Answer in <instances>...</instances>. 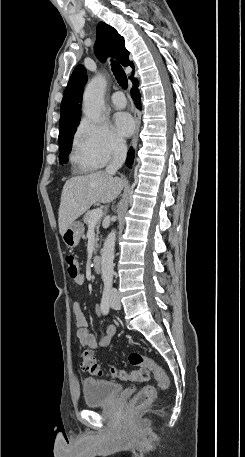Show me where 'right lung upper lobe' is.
<instances>
[{"instance_id": "obj_1", "label": "right lung upper lobe", "mask_w": 245, "mask_h": 457, "mask_svg": "<svg viewBox=\"0 0 245 457\" xmlns=\"http://www.w3.org/2000/svg\"><path fill=\"white\" fill-rule=\"evenodd\" d=\"M95 53L102 61L105 60L106 54H110L123 66L130 65L134 68L133 64L129 62V52L125 48L123 37L113 27L103 22L97 25ZM130 78L133 79V75ZM86 81L85 67L82 65L77 66L64 92L59 127L80 121L82 94Z\"/></svg>"}]
</instances>
